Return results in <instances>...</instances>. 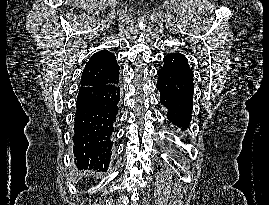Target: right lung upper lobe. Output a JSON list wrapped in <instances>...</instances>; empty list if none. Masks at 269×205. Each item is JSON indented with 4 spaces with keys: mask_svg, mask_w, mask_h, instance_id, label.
Segmentation results:
<instances>
[{
    "mask_svg": "<svg viewBox=\"0 0 269 205\" xmlns=\"http://www.w3.org/2000/svg\"><path fill=\"white\" fill-rule=\"evenodd\" d=\"M119 69L115 55L101 50L92 55L86 63L81 77V87L111 84L119 79Z\"/></svg>",
    "mask_w": 269,
    "mask_h": 205,
    "instance_id": "obj_1",
    "label": "right lung upper lobe"
}]
</instances>
